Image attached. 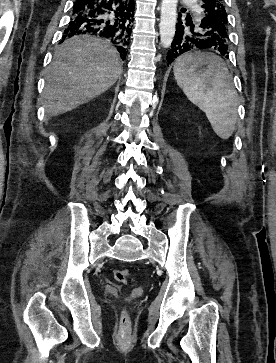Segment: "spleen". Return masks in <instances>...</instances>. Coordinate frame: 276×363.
Segmentation results:
<instances>
[{
    "label": "spleen",
    "mask_w": 276,
    "mask_h": 363,
    "mask_svg": "<svg viewBox=\"0 0 276 363\" xmlns=\"http://www.w3.org/2000/svg\"><path fill=\"white\" fill-rule=\"evenodd\" d=\"M206 65L205 70L196 72ZM174 76L187 98L198 106L209 120L218 137L227 140L237 122V93L225 61L210 52L179 57Z\"/></svg>",
    "instance_id": "spleen-1"
}]
</instances>
